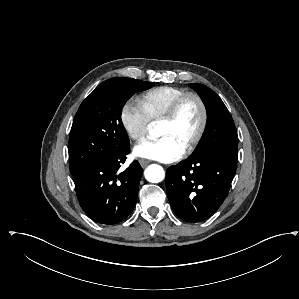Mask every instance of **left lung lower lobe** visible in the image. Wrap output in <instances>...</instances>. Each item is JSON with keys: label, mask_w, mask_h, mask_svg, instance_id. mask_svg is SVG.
Listing matches in <instances>:
<instances>
[{"label": "left lung lower lobe", "mask_w": 299, "mask_h": 299, "mask_svg": "<svg viewBox=\"0 0 299 299\" xmlns=\"http://www.w3.org/2000/svg\"><path fill=\"white\" fill-rule=\"evenodd\" d=\"M236 168L237 159L219 153L169 167L167 196L175 214L190 222H201L214 214L229 192Z\"/></svg>", "instance_id": "obj_1"}]
</instances>
